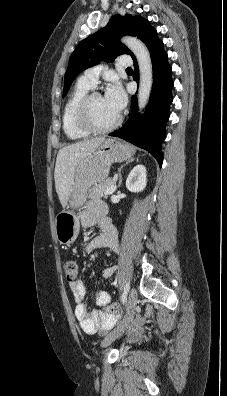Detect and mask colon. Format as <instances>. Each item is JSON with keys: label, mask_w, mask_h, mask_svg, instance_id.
Listing matches in <instances>:
<instances>
[{"label": "colon", "mask_w": 227, "mask_h": 396, "mask_svg": "<svg viewBox=\"0 0 227 396\" xmlns=\"http://www.w3.org/2000/svg\"><path fill=\"white\" fill-rule=\"evenodd\" d=\"M63 271L68 281H74L78 274V265L75 260L67 259L63 263ZM105 310L109 313L120 312V306L118 303H110L106 306Z\"/></svg>", "instance_id": "obj_1"}]
</instances>
